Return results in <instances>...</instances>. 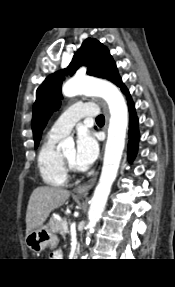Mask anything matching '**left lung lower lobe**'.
Returning <instances> with one entry per match:
<instances>
[{
	"mask_svg": "<svg viewBox=\"0 0 175 287\" xmlns=\"http://www.w3.org/2000/svg\"><path fill=\"white\" fill-rule=\"evenodd\" d=\"M121 90L127 97L130 112L128 160L132 162L138 150V141H139L138 119L136 117L135 105L133 103L129 90L126 87L122 88Z\"/></svg>",
	"mask_w": 175,
	"mask_h": 287,
	"instance_id": "left-lung-lower-lobe-1",
	"label": "left lung lower lobe"
}]
</instances>
